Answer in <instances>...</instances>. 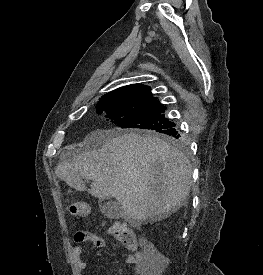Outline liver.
I'll return each instance as SVG.
<instances>
[{"mask_svg":"<svg viewBox=\"0 0 263 275\" xmlns=\"http://www.w3.org/2000/svg\"><path fill=\"white\" fill-rule=\"evenodd\" d=\"M85 149L62 161L56 175L68 186L101 200L114 197L132 223L161 221L179 209L192 184V167L182 152L152 135L96 130L86 136Z\"/></svg>","mask_w":263,"mask_h":275,"instance_id":"liver-1","label":"liver"}]
</instances>
